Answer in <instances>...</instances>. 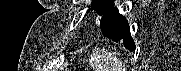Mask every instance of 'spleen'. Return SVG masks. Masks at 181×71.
<instances>
[{"label":"spleen","instance_id":"spleen-1","mask_svg":"<svg viewBox=\"0 0 181 71\" xmlns=\"http://www.w3.org/2000/svg\"><path fill=\"white\" fill-rule=\"evenodd\" d=\"M90 65L95 71H125L121 60L107 50L97 49L93 52Z\"/></svg>","mask_w":181,"mask_h":71}]
</instances>
